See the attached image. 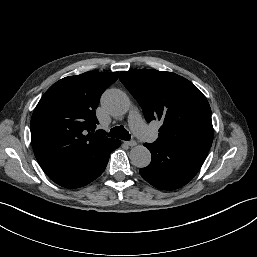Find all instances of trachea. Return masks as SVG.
<instances>
[{
  "label": "trachea",
  "mask_w": 257,
  "mask_h": 257,
  "mask_svg": "<svg viewBox=\"0 0 257 257\" xmlns=\"http://www.w3.org/2000/svg\"><path fill=\"white\" fill-rule=\"evenodd\" d=\"M107 135L109 137L119 138V139L126 140V141H129L131 138V135L123 126H118V127L112 128Z\"/></svg>",
  "instance_id": "3493384b"
}]
</instances>
